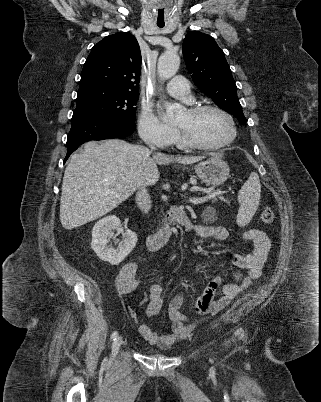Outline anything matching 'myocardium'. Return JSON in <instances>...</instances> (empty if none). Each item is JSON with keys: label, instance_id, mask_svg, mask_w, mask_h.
<instances>
[{"label": "myocardium", "instance_id": "f54148a6", "mask_svg": "<svg viewBox=\"0 0 321 402\" xmlns=\"http://www.w3.org/2000/svg\"><path fill=\"white\" fill-rule=\"evenodd\" d=\"M205 110H215L222 114L228 121L230 125V135L223 141L216 143V144H204L201 142L196 141L194 138H192L185 130H183L180 127H177V130L179 132L180 139L182 143L189 148L193 149H198V150H204V151H212V150H218L221 148H224L228 145H230L237 136V127L234 121V118L232 115L227 112L225 109L220 107L219 105L216 104H199V105H194L188 108V111L192 114H197Z\"/></svg>", "mask_w": 321, "mask_h": 402}]
</instances>
